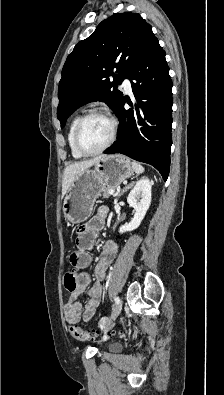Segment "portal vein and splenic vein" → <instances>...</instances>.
<instances>
[{
	"label": "portal vein and splenic vein",
	"instance_id": "obj_1",
	"mask_svg": "<svg viewBox=\"0 0 224 395\" xmlns=\"http://www.w3.org/2000/svg\"><path fill=\"white\" fill-rule=\"evenodd\" d=\"M108 193H109L110 195H114V194H115V191L112 190V189H110V190L108 191Z\"/></svg>",
	"mask_w": 224,
	"mask_h": 395
}]
</instances>
